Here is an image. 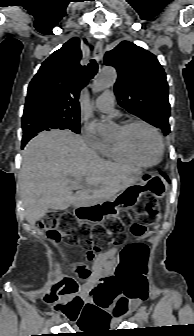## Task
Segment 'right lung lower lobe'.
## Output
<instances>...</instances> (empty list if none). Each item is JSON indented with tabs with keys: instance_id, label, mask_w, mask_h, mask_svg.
Returning <instances> with one entry per match:
<instances>
[{
	"instance_id": "right-lung-lower-lobe-1",
	"label": "right lung lower lobe",
	"mask_w": 194,
	"mask_h": 336,
	"mask_svg": "<svg viewBox=\"0 0 194 336\" xmlns=\"http://www.w3.org/2000/svg\"><path fill=\"white\" fill-rule=\"evenodd\" d=\"M27 142H23L22 143V148H24V146L26 145Z\"/></svg>"
}]
</instances>
